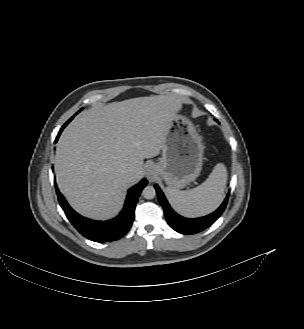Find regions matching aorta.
I'll return each instance as SVG.
<instances>
[{
	"instance_id": "762f6f07",
	"label": "aorta",
	"mask_w": 304,
	"mask_h": 329,
	"mask_svg": "<svg viewBox=\"0 0 304 329\" xmlns=\"http://www.w3.org/2000/svg\"><path fill=\"white\" fill-rule=\"evenodd\" d=\"M142 195L145 199H153L156 195L155 188L153 186H146L142 191Z\"/></svg>"
}]
</instances>
